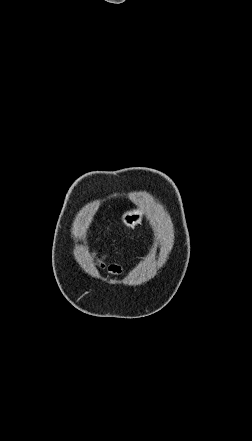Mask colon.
Wrapping results in <instances>:
<instances>
[{
	"instance_id": "5ec220e1",
	"label": "colon",
	"mask_w": 252,
	"mask_h": 441,
	"mask_svg": "<svg viewBox=\"0 0 252 441\" xmlns=\"http://www.w3.org/2000/svg\"><path fill=\"white\" fill-rule=\"evenodd\" d=\"M101 266L104 267V264L101 263ZM108 268H109L110 271H113V272H118L119 269H120V267L118 265H116V264H111V265H109Z\"/></svg>"
}]
</instances>
